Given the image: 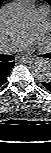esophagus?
Masks as SVG:
<instances>
[{"label":"esophagus","mask_w":51,"mask_h":153,"mask_svg":"<svg viewBox=\"0 0 51 153\" xmlns=\"http://www.w3.org/2000/svg\"><path fill=\"white\" fill-rule=\"evenodd\" d=\"M34 58H31V57H23L21 58V61L24 62V63H33L34 62Z\"/></svg>","instance_id":"34e87169"}]
</instances>
